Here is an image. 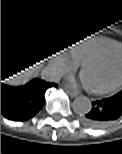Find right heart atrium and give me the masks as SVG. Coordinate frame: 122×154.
<instances>
[{
    "label": "right heart atrium",
    "instance_id": "obj_1",
    "mask_svg": "<svg viewBox=\"0 0 122 154\" xmlns=\"http://www.w3.org/2000/svg\"><path fill=\"white\" fill-rule=\"evenodd\" d=\"M76 66L77 62L63 49L58 48L53 52L50 62L52 74L60 76Z\"/></svg>",
    "mask_w": 122,
    "mask_h": 154
}]
</instances>
